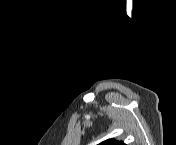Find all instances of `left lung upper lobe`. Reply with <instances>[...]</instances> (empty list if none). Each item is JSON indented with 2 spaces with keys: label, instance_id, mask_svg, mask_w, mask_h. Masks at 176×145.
I'll return each instance as SVG.
<instances>
[{
  "label": "left lung upper lobe",
  "instance_id": "1",
  "mask_svg": "<svg viewBox=\"0 0 176 145\" xmlns=\"http://www.w3.org/2000/svg\"><path fill=\"white\" fill-rule=\"evenodd\" d=\"M99 145H125L123 142L115 141L114 139H108Z\"/></svg>",
  "mask_w": 176,
  "mask_h": 145
}]
</instances>
